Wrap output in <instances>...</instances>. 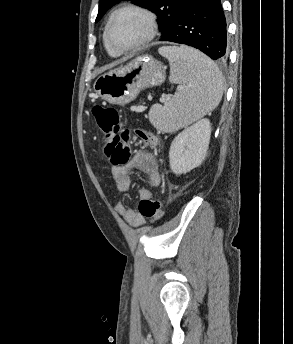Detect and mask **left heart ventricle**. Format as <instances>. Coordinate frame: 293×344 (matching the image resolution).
Returning <instances> with one entry per match:
<instances>
[{
  "instance_id": "b2bd125f",
  "label": "left heart ventricle",
  "mask_w": 293,
  "mask_h": 344,
  "mask_svg": "<svg viewBox=\"0 0 293 344\" xmlns=\"http://www.w3.org/2000/svg\"><path fill=\"white\" fill-rule=\"evenodd\" d=\"M144 19L137 13L127 11L115 17L109 36L115 48H126L139 42L145 34Z\"/></svg>"
}]
</instances>
